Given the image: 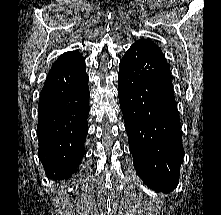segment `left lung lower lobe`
Returning a JSON list of instances; mask_svg holds the SVG:
<instances>
[{"label":"left lung lower lobe","mask_w":221,"mask_h":215,"mask_svg":"<svg viewBox=\"0 0 221 215\" xmlns=\"http://www.w3.org/2000/svg\"><path fill=\"white\" fill-rule=\"evenodd\" d=\"M118 82L137 175L150 187L170 191L184 157L170 67L155 50L134 43L120 61Z\"/></svg>","instance_id":"obj_1"}]
</instances>
